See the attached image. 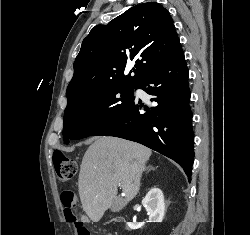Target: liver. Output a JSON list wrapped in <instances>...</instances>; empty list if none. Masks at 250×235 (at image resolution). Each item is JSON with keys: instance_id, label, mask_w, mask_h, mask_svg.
I'll use <instances>...</instances> for the list:
<instances>
[{"instance_id": "1", "label": "liver", "mask_w": 250, "mask_h": 235, "mask_svg": "<svg viewBox=\"0 0 250 235\" xmlns=\"http://www.w3.org/2000/svg\"><path fill=\"white\" fill-rule=\"evenodd\" d=\"M149 148L116 137H100L87 149L80 167L78 190L82 207L93 222H98L114 200L124 206L139 192ZM125 198H117L118 187Z\"/></svg>"}]
</instances>
